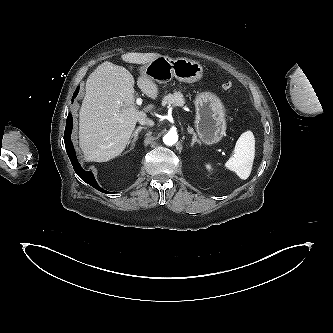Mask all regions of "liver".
<instances>
[{
    "instance_id": "1",
    "label": "liver",
    "mask_w": 333,
    "mask_h": 333,
    "mask_svg": "<svg viewBox=\"0 0 333 333\" xmlns=\"http://www.w3.org/2000/svg\"><path fill=\"white\" fill-rule=\"evenodd\" d=\"M160 54L126 53L121 59L132 64H147ZM137 85L149 98L158 97L157 85L144 74ZM134 78L122 66L103 62L86 81V94L80 109L79 144L86 160L106 162L126 148L140 118L154 106L139 111L135 106Z\"/></svg>"
}]
</instances>
